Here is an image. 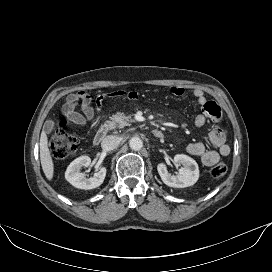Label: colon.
Returning <instances> with one entry per match:
<instances>
[{
  "label": "colon",
  "instance_id": "5ec220e1",
  "mask_svg": "<svg viewBox=\"0 0 272 272\" xmlns=\"http://www.w3.org/2000/svg\"><path fill=\"white\" fill-rule=\"evenodd\" d=\"M78 144V136L67 130V121L62 120L60 127L52 134L49 141V149L52 156L56 159H64L71 156ZM227 172V165L218 162L210 169V174L214 178H220Z\"/></svg>",
  "mask_w": 272,
  "mask_h": 272
}]
</instances>
